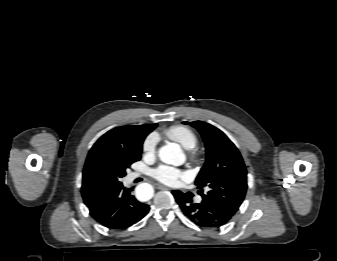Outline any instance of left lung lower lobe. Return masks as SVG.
<instances>
[{"mask_svg": "<svg viewBox=\"0 0 337 261\" xmlns=\"http://www.w3.org/2000/svg\"><path fill=\"white\" fill-rule=\"evenodd\" d=\"M172 193L184 215L200 227L219 228L232 218L225 210L209 201L202 200L199 204H192L182 192Z\"/></svg>", "mask_w": 337, "mask_h": 261, "instance_id": "1", "label": "left lung lower lobe"}]
</instances>
